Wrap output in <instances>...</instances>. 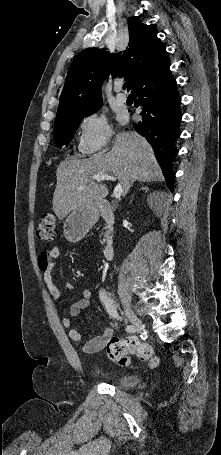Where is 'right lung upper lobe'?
I'll use <instances>...</instances> for the list:
<instances>
[{
	"label": "right lung upper lobe",
	"instance_id": "1",
	"mask_svg": "<svg viewBox=\"0 0 221 455\" xmlns=\"http://www.w3.org/2000/svg\"><path fill=\"white\" fill-rule=\"evenodd\" d=\"M128 48L109 54L105 49L87 48L71 64L61 93L56 119L102 104L101 85L105 77L126 76L128 90L165 51L150 26L131 21Z\"/></svg>",
	"mask_w": 221,
	"mask_h": 455
}]
</instances>
